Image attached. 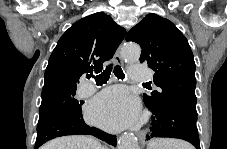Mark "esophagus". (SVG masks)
Returning a JSON list of instances; mask_svg holds the SVG:
<instances>
[{"label":"esophagus","instance_id":"obj_1","mask_svg":"<svg viewBox=\"0 0 227 149\" xmlns=\"http://www.w3.org/2000/svg\"><path fill=\"white\" fill-rule=\"evenodd\" d=\"M114 61L117 64H123V60H122V57H121V54H120V47H118V49L116 50V52L114 54ZM137 135L139 137L138 138L139 142H144L145 141V132L143 130L138 131Z\"/></svg>","mask_w":227,"mask_h":149}]
</instances>
